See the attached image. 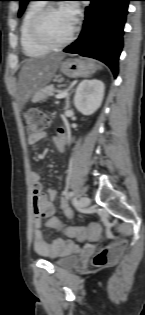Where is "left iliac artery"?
<instances>
[{"label": "left iliac artery", "mask_w": 145, "mask_h": 315, "mask_svg": "<svg viewBox=\"0 0 145 315\" xmlns=\"http://www.w3.org/2000/svg\"><path fill=\"white\" fill-rule=\"evenodd\" d=\"M68 197H73L74 196V192L70 191L68 194H67Z\"/></svg>", "instance_id": "1"}]
</instances>
